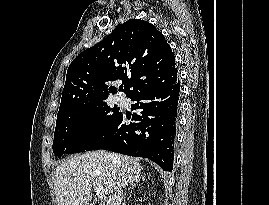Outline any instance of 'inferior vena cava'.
<instances>
[{
  "label": "inferior vena cava",
  "instance_id": "1",
  "mask_svg": "<svg viewBox=\"0 0 269 205\" xmlns=\"http://www.w3.org/2000/svg\"><path fill=\"white\" fill-rule=\"evenodd\" d=\"M122 201H123V184L119 182L114 193H112V195L109 196L107 205H121Z\"/></svg>",
  "mask_w": 269,
  "mask_h": 205
}]
</instances>
